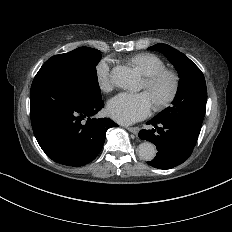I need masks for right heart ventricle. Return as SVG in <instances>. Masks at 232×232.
<instances>
[{
	"label": "right heart ventricle",
	"mask_w": 232,
	"mask_h": 232,
	"mask_svg": "<svg viewBox=\"0 0 232 232\" xmlns=\"http://www.w3.org/2000/svg\"><path fill=\"white\" fill-rule=\"evenodd\" d=\"M133 62L140 68L145 77L165 69V63L162 59L151 53L137 54L133 57Z\"/></svg>",
	"instance_id": "e07e8e85"
}]
</instances>
